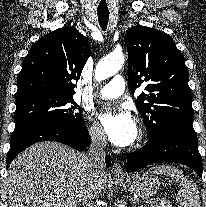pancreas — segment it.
Returning <instances> with one entry per match:
<instances>
[{"instance_id": "pancreas-1", "label": "pancreas", "mask_w": 206, "mask_h": 207, "mask_svg": "<svg viewBox=\"0 0 206 207\" xmlns=\"http://www.w3.org/2000/svg\"><path fill=\"white\" fill-rule=\"evenodd\" d=\"M138 207H160V203L157 200H149L145 202H139ZM171 207V206H168Z\"/></svg>"}]
</instances>
